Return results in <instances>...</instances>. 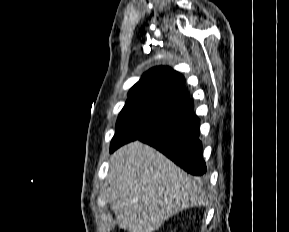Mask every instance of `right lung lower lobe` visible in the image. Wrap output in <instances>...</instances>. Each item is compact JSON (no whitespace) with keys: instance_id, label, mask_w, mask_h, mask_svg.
Segmentation results:
<instances>
[{"instance_id":"obj_1","label":"right lung lower lobe","mask_w":289,"mask_h":232,"mask_svg":"<svg viewBox=\"0 0 289 232\" xmlns=\"http://www.w3.org/2000/svg\"><path fill=\"white\" fill-rule=\"evenodd\" d=\"M199 128L198 117L190 111L139 140L158 149L188 173L201 176L207 168L202 158Z\"/></svg>"}]
</instances>
